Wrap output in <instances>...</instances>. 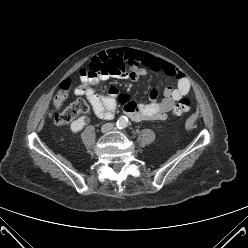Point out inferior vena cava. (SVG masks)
<instances>
[{
	"label": "inferior vena cava",
	"instance_id": "inferior-vena-cava-1",
	"mask_svg": "<svg viewBox=\"0 0 248 248\" xmlns=\"http://www.w3.org/2000/svg\"><path fill=\"white\" fill-rule=\"evenodd\" d=\"M113 126H114L113 123H105L104 125H102L101 131L103 133H108L113 129Z\"/></svg>",
	"mask_w": 248,
	"mask_h": 248
}]
</instances>
